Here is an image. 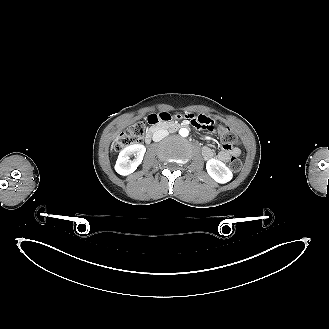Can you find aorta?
<instances>
[{
  "label": "aorta",
  "instance_id": "762f6f07",
  "mask_svg": "<svg viewBox=\"0 0 329 329\" xmlns=\"http://www.w3.org/2000/svg\"><path fill=\"white\" fill-rule=\"evenodd\" d=\"M179 135L182 137H187L189 135V130L187 128H181L179 130Z\"/></svg>",
  "mask_w": 329,
  "mask_h": 329
}]
</instances>
